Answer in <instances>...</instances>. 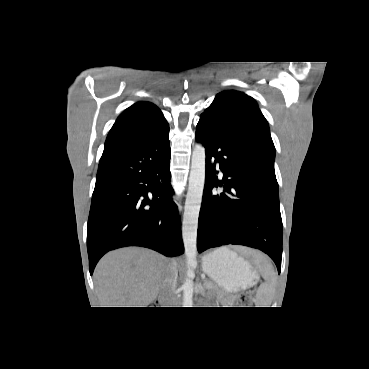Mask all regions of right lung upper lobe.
Listing matches in <instances>:
<instances>
[{
    "mask_svg": "<svg viewBox=\"0 0 369 369\" xmlns=\"http://www.w3.org/2000/svg\"><path fill=\"white\" fill-rule=\"evenodd\" d=\"M169 130L162 112L150 102L127 108L111 128L102 157L137 143L161 137Z\"/></svg>",
    "mask_w": 369,
    "mask_h": 369,
    "instance_id": "right-lung-upper-lobe-1",
    "label": "right lung upper lobe"
}]
</instances>
